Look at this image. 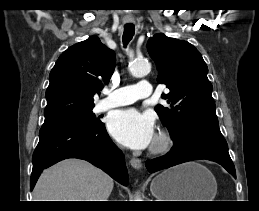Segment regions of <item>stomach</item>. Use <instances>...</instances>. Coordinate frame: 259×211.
Wrapping results in <instances>:
<instances>
[{
    "mask_svg": "<svg viewBox=\"0 0 259 211\" xmlns=\"http://www.w3.org/2000/svg\"><path fill=\"white\" fill-rule=\"evenodd\" d=\"M150 191L158 201H213L217 182L206 167L189 162L157 175Z\"/></svg>",
    "mask_w": 259,
    "mask_h": 211,
    "instance_id": "0dacf381",
    "label": "stomach"
}]
</instances>
